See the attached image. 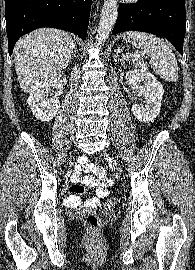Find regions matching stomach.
Returning <instances> with one entry per match:
<instances>
[{
  "mask_svg": "<svg viewBox=\"0 0 195 270\" xmlns=\"http://www.w3.org/2000/svg\"><path fill=\"white\" fill-rule=\"evenodd\" d=\"M124 41L130 43L131 45H135L136 44V41L128 36H125L124 35Z\"/></svg>",
  "mask_w": 195,
  "mask_h": 270,
  "instance_id": "obj_1",
  "label": "stomach"
}]
</instances>
